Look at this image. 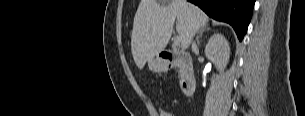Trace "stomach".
I'll return each mask as SVG.
<instances>
[{
  "label": "stomach",
  "mask_w": 305,
  "mask_h": 116,
  "mask_svg": "<svg viewBox=\"0 0 305 116\" xmlns=\"http://www.w3.org/2000/svg\"><path fill=\"white\" fill-rule=\"evenodd\" d=\"M149 69L153 72H164L167 70L168 65L166 62L160 58L159 56H156L155 58H152L148 61Z\"/></svg>",
  "instance_id": "stomach-1"
}]
</instances>
